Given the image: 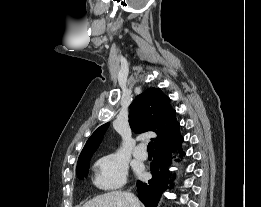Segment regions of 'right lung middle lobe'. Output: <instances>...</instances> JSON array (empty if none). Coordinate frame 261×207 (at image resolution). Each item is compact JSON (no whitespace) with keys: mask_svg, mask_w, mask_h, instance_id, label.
Wrapping results in <instances>:
<instances>
[{"mask_svg":"<svg viewBox=\"0 0 261 207\" xmlns=\"http://www.w3.org/2000/svg\"><path fill=\"white\" fill-rule=\"evenodd\" d=\"M90 159H91V157L83 159L80 162H78L77 168H76V173L80 179H83L84 177L87 176Z\"/></svg>","mask_w":261,"mask_h":207,"instance_id":"dd1d6c3e","label":"right lung middle lobe"}]
</instances>
